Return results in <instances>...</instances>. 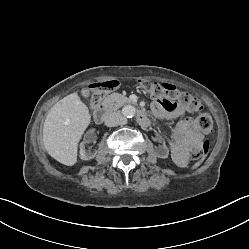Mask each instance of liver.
<instances>
[{"instance_id": "obj_1", "label": "liver", "mask_w": 249, "mask_h": 249, "mask_svg": "<svg viewBox=\"0 0 249 249\" xmlns=\"http://www.w3.org/2000/svg\"><path fill=\"white\" fill-rule=\"evenodd\" d=\"M90 122L88 107L77 93L57 102L50 109L43 126V143L48 154L64 165H75L78 143Z\"/></svg>"}]
</instances>
